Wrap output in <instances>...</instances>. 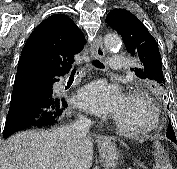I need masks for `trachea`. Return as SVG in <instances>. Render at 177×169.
<instances>
[{"instance_id": "trachea-1", "label": "trachea", "mask_w": 177, "mask_h": 169, "mask_svg": "<svg viewBox=\"0 0 177 169\" xmlns=\"http://www.w3.org/2000/svg\"><path fill=\"white\" fill-rule=\"evenodd\" d=\"M93 64L97 67V68H105V66L103 65V63H101L99 60H94ZM77 71V66L73 68L72 73H76Z\"/></svg>"}]
</instances>
